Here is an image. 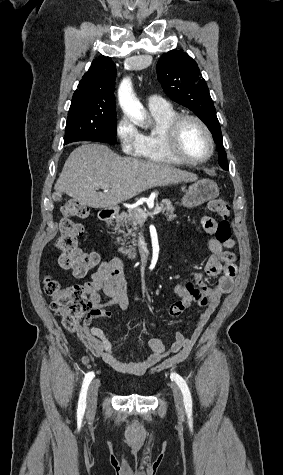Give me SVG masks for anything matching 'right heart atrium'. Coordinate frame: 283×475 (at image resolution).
<instances>
[{"instance_id": "obj_1", "label": "right heart atrium", "mask_w": 283, "mask_h": 475, "mask_svg": "<svg viewBox=\"0 0 283 475\" xmlns=\"http://www.w3.org/2000/svg\"><path fill=\"white\" fill-rule=\"evenodd\" d=\"M123 155H133V159L141 157L144 149V140L131 120L121 116L114 127Z\"/></svg>"}]
</instances>
